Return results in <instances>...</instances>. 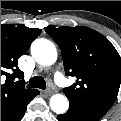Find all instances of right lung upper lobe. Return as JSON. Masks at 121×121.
<instances>
[{
    "label": "right lung upper lobe",
    "mask_w": 121,
    "mask_h": 121,
    "mask_svg": "<svg viewBox=\"0 0 121 121\" xmlns=\"http://www.w3.org/2000/svg\"><path fill=\"white\" fill-rule=\"evenodd\" d=\"M40 33L41 29L38 28L1 25V77H6V83L1 84V119L36 91L24 89V73L18 68L17 62ZM14 80L18 81L14 84Z\"/></svg>",
    "instance_id": "cb5924a9"
}]
</instances>
